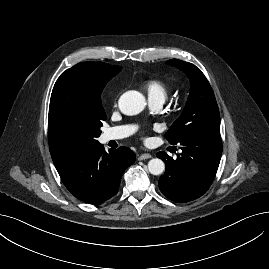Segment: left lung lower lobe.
Returning a JSON list of instances; mask_svg holds the SVG:
<instances>
[{"label":"left lung lower lobe","instance_id":"0a47b994","mask_svg":"<svg viewBox=\"0 0 269 269\" xmlns=\"http://www.w3.org/2000/svg\"><path fill=\"white\" fill-rule=\"evenodd\" d=\"M182 153L174 160L165 152L157 157L166 164L159 188L168 199L184 203L202 196L212 184L222 154L219 133H203L181 144Z\"/></svg>","mask_w":269,"mask_h":269}]
</instances>
